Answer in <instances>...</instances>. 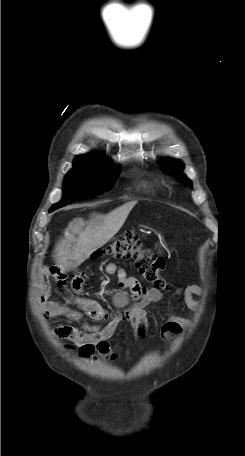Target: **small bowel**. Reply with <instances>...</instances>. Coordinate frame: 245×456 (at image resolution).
<instances>
[{"label":"small bowel","mask_w":245,"mask_h":456,"mask_svg":"<svg viewBox=\"0 0 245 456\" xmlns=\"http://www.w3.org/2000/svg\"><path fill=\"white\" fill-rule=\"evenodd\" d=\"M77 222H74L68 233V240H72L73 231ZM105 273L118 276L120 291L114 295L115 310L110 311L95 300L88 298H74L77 309H71L57 301L49 300L51 295V285L46 277L40 285V301L42 312L45 318L65 316L72 320H80L87 316L95 321H105L103 326L84 324L82 329L73 326L63 325L55 328L57 337L67 339L79 347V354L83 357H92L95 352L101 356L114 360L117 356L111 350L109 339L115 333L120 323L126 321L133 329L137 339H143L148 330V320L146 307L153 302L162 299L161 291L141 286L139 281L119 268L116 264L109 262L104 266ZM51 276L56 281L58 287L66 286V274L57 267L51 269ZM86 271L78 273L72 280L73 290H79L87 281ZM129 292V296L127 294ZM186 306L192 311L199 310V303L194 299L201 296L203 290L199 285L191 284L180 290ZM185 319L171 315L167 322L161 327V335L167 341H173L185 328Z\"/></svg>","instance_id":"obj_1"}]
</instances>
